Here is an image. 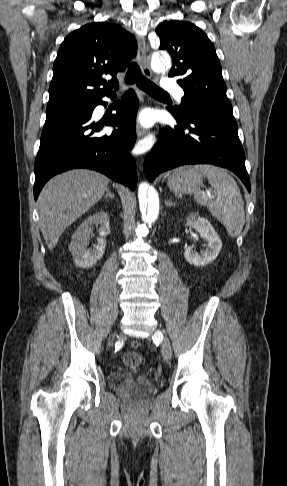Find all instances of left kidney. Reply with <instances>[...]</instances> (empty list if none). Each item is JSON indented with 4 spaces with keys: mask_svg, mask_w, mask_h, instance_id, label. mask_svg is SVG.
<instances>
[{
    "mask_svg": "<svg viewBox=\"0 0 287 486\" xmlns=\"http://www.w3.org/2000/svg\"><path fill=\"white\" fill-rule=\"evenodd\" d=\"M186 226L193 227L207 242L206 249L200 253L191 247L185 249L186 261L195 266H204L216 259L222 248V242L210 222L206 218L200 217L198 213H191L187 217Z\"/></svg>",
    "mask_w": 287,
    "mask_h": 486,
    "instance_id": "obj_1",
    "label": "left kidney"
}]
</instances>
